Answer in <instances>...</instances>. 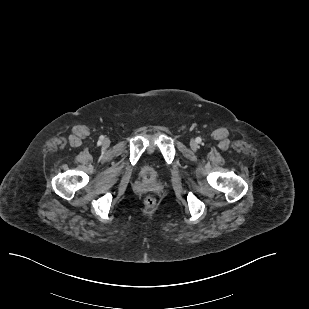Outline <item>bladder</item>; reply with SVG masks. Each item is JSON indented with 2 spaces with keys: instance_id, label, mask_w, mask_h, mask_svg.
I'll return each instance as SVG.
<instances>
[{
  "instance_id": "bladder-1",
  "label": "bladder",
  "mask_w": 309,
  "mask_h": 309,
  "mask_svg": "<svg viewBox=\"0 0 309 309\" xmlns=\"http://www.w3.org/2000/svg\"><path fill=\"white\" fill-rule=\"evenodd\" d=\"M144 175H145V177L151 179V178H154V177H155L156 172H155V170H154L152 167H147V168H145V170H144Z\"/></svg>"
}]
</instances>
